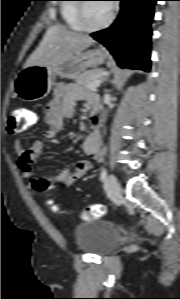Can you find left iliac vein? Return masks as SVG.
<instances>
[{
  "mask_svg": "<svg viewBox=\"0 0 180 299\" xmlns=\"http://www.w3.org/2000/svg\"><path fill=\"white\" fill-rule=\"evenodd\" d=\"M107 187L111 197L114 200H118L121 196V187L113 175H110L107 179Z\"/></svg>",
  "mask_w": 180,
  "mask_h": 299,
  "instance_id": "obj_1",
  "label": "left iliac vein"
}]
</instances>
